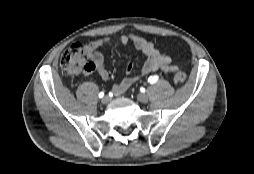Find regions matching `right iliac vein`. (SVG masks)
Listing matches in <instances>:
<instances>
[{"instance_id": "obj_1", "label": "right iliac vein", "mask_w": 254, "mask_h": 174, "mask_svg": "<svg viewBox=\"0 0 254 174\" xmlns=\"http://www.w3.org/2000/svg\"><path fill=\"white\" fill-rule=\"evenodd\" d=\"M110 98L108 96H104L102 99H101V102L102 104H107L109 102Z\"/></svg>"}]
</instances>
